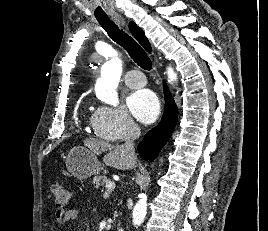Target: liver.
<instances>
[{
	"label": "liver",
	"instance_id": "liver-1",
	"mask_svg": "<svg viewBox=\"0 0 268 231\" xmlns=\"http://www.w3.org/2000/svg\"><path fill=\"white\" fill-rule=\"evenodd\" d=\"M84 145L94 154L107 152L103 157V161L108 166L128 170L135 165V160L129 157L124 145H112L103 140L93 138L86 139Z\"/></svg>",
	"mask_w": 268,
	"mask_h": 231
}]
</instances>
